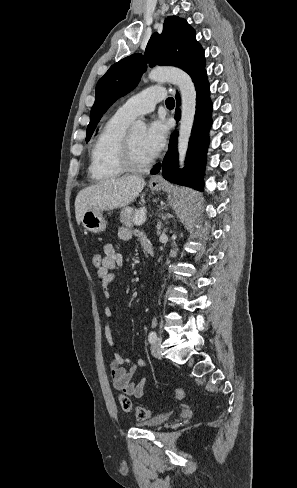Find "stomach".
Segmentation results:
<instances>
[{"instance_id": "0dacf381", "label": "stomach", "mask_w": 297, "mask_h": 488, "mask_svg": "<svg viewBox=\"0 0 297 488\" xmlns=\"http://www.w3.org/2000/svg\"><path fill=\"white\" fill-rule=\"evenodd\" d=\"M152 191H159L161 184H149ZM82 225L86 230L92 233H99L105 230V219L100 211L87 210L84 212L82 219Z\"/></svg>"}]
</instances>
